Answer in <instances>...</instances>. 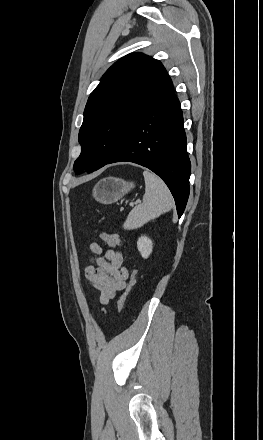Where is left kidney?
<instances>
[{"mask_svg":"<svg viewBox=\"0 0 263 440\" xmlns=\"http://www.w3.org/2000/svg\"><path fill=\"white\" fill-rule=\"evenodd\" d=\"M137 248L144 259L148 258L153 249L152 240L145 235L141 236L137 241Z\"/></svg>","mask_w":263,"mask_h":440,"instance_id":"5707ae66","label":"left kidney"}]
</instances>
